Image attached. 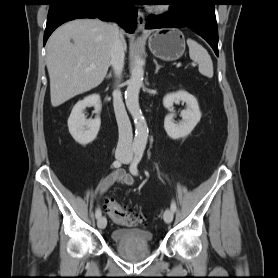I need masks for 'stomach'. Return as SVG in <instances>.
<instances>
[{"mask_svg":"<svg viewBox=\"0 0 278 278\" xmlns=\"http://www.w3.org/2000/svg\"><path fill=\"white\" fill-rule=\"evenodd\" d=\"M148 45L155 57L165 61H174L179 59L185 51V38L178 29L156 31L149 37Z\"/></svg>","mask_w":278,"mask_h":278,"instance_id":"obj_1","label":"stomach"}]
</instances>
